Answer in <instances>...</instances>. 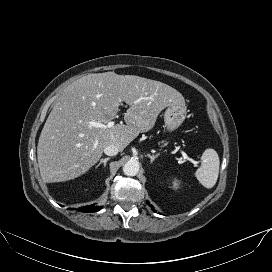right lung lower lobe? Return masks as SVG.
Here are the masks:
<instances>
[{
    "label": "right lung lower lobe",
    "mask_w": 272,
    "mask_h": 272,
    "mask_svg": "<svg viewBox=\"0 0 272 272\" xmlns=\"http://www.w3.org/2000/svg\"><path fill=\"white\" fill-rule=\"evenodd\" d=\"M101 208H102L101 206L90 205V206H84L83 208H79L78 210L80 212H97Z\"/></svg>",
    "instance_id": "98d812e1"
}]
</instances>
